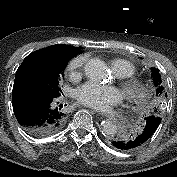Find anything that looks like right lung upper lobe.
I'll list each match as a JSON object with an SVG mask.
<instances>
[{
	"label": "right lung upper lobe",
	"instance_id": "obj_1",
	"mask_svg": "<svg viewBox=\"0 0 177 177\" xmlns=\"http://www.w3.org/2000/svg\"><path fill=\"white\" fill-rule=\"evenodd\" d=\"M80 52L79 47L70 45H52L29 54L19 66L14 83L28 72H50L67 64Z\"/></svg>",
	"mask_w": 177,
	"mask_h": 177
}]
</instances>
